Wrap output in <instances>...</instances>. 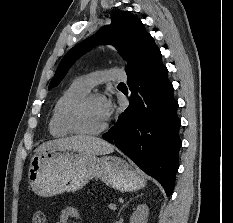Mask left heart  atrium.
<instances>
[{"label": "left heart atrium", "instance_id": "39dd6f15", "mask_svg": "<svg viewBox=\"0 0 233 223\" xmlns=\"http://www.w3.org/2000/svg\"><path fill=\"white\" fill-rule=\"evenodd\" d=\"M100 110H101L102 118L104 119L105 122H108L112 118L115 111L112 100L106 97H101Z\"/></svg>", "mask_w": 233, "mask_h": 223}]
</instances>
